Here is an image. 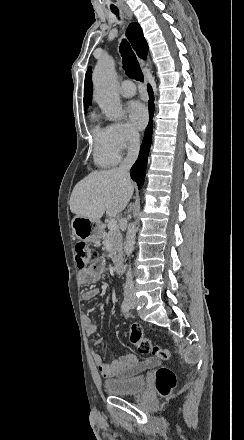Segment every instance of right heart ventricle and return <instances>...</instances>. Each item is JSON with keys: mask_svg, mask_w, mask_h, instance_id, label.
<instances>
[{"mask_svg": "<svg viewBox=\"0 0 244 440\" xmlns=\"http://www.w3.org/2000/svg\"><path fill=\"white\" fill-rule=\"evenodd\" d=\"M90 122L92 126V133L96 143L95 148V161L99 166L109 167L114 166L121 160V155L119 152H111L106 149L102 150L99 148V145L106 143V132L100 126L98 115L93 112L90 115Z\"/></svg>", "mask_w": 244, "mask_h": 440, "instance_id": "obj_1", "label": "right heart ventricle"}]
</instances>
